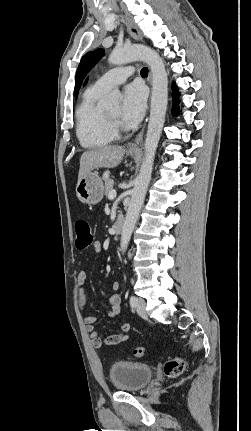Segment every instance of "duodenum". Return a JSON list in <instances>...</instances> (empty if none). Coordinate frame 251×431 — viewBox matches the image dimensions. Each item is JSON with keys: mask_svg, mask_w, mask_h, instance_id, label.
<instances>
[{"mask_svg": "<svg viewBox=\"0 0 251 431\" xmlns=\"http://www.w3.org/2000/svg\"><path fill=\"white\" fill-rule=\"evenodd\" d=\"M123 226H124V219L122 216H118L114 223V232L116 235L122 232Z\"/></svg>", "mask_w": 251, "mask_h": 431, "instance_id": "duodenum-1", "label": "duodenum"}]
</instances>
